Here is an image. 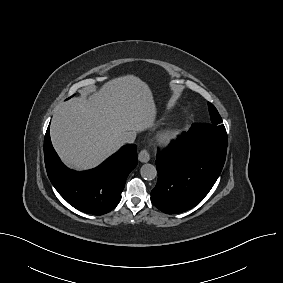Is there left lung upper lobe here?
Listing matches in <instances>:
<instances>
[{
	"mask_svg": "<svg viewBox=\"0 0 283 283\" xmlns=\"http://www.w3.org/2000/svg\"><path fill=\"white\" fill-rule=\"evenodd\" d=\"M208 108H209V113H210V118H211V125L218 129L225 130V127L222 124V119L217 109L214 107V105L211 103H208Z\"/></svg>",
	"mask_w": 283,
	"mask_h": 283,
	"instance_id": "5c2ea615",
	"label": "left lung upper lobe"
}]
</instances>
